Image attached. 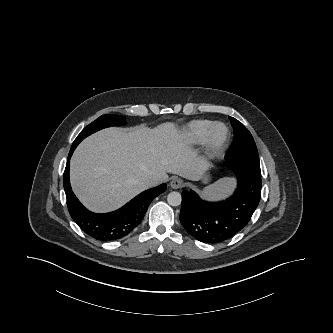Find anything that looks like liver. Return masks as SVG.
<instances>
[{
  "mask_svg": "<svg viewBox=\"0 0 333 333\" xmlns=\"http://www.w3.org/2000/svg\"><path fill=\"white\" fill-rule=\"evenodd\" d=\"M167 173L200 180L204 169L174 123L154 129L107 128L86 138L75 150L70 180L79 200L90 210H114L152 185L168 179ZM154 184V185H155Z\"/></svg>",
  "mask_w": 333,
  "mask_h": 333,
  "instance_id": "1",
  "label": "liver"
}]
</instances>
